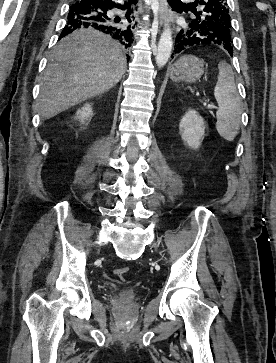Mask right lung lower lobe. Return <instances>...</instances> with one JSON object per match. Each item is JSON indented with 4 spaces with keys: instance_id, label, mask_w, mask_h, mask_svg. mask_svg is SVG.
Returning <instances> with one entry per match:
<instances>
[{
    "instance_id": "right-lung-lower-lobe-1",
    "label": "right lung lower lobe",
    "mask_w": 276,
    "mask_h": 363,
    "mask_svg": "<svg viewBox=\"0 0 276 363\" xmlns=\"http://www.w3.org/2000/svg\"><path fill=\"white\" fill-rule=\"evenodd\" d=\"M130 6V0L123 6L116 4L114 0H75L70 6L67 24L59 39L79 28H94L111 35L124 48L129 49L134 40L131 26L125 25V18L122 20L120 17H113L109 13L114 8L127 9L125 17L131 22L130 15L133 10Z\"/></svg>"
}]
</instances>
